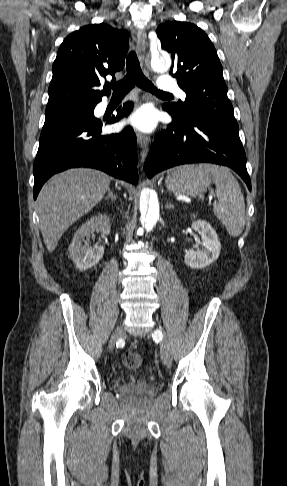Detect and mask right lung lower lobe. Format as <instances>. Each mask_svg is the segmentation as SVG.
I'll return each instance as SVG.
<instances>
[{
	"label": "right lung lower lobe",
	"mask_w": 287,
	"mask_h": 486,
	"mask_svg": "<svg viewBox=\"0 0 287 486\" xmlns=\"http://www.w3.org/2000/svg\"><path fill=\"white\" fill-rule=\"evenodd\" d=\"M98 102L83 118L43 127L33 166L34 199L52 175L68 168H96L132 184L138 181L133 129L128 126L119 134L102 135L103 121L96 119L93 114ZM132 108V102L125 103L122 109L117 110L118 115L112 116L107 123L119 121Z\"/></svg>",
	"instance_id": "1"
}]
</instances>
